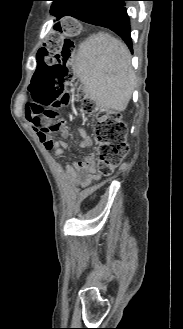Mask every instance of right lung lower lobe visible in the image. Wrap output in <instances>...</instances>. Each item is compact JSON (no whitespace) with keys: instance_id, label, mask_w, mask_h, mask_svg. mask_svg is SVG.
I'll return each instance as SVG.
<instances>
[{"instance_id":"right-lung-lower-lobe-1","label":"right lung lower lobe","mask_w":183,"mask_h":329,"mask_svg":"<svg viewBox=\"0 0 183 329\" xmlns=\"http://www.w3.org/2000/svg\"><path fill=\"white\" fill-rule=\"evenodd\" d=\"M128 0H59L51 12L59 19L72 16L83 22L103 26L118 34L132 51L130 20L126 12Z\"/></svg>"}]
</instances>
